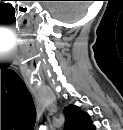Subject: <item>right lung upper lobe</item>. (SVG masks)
<instances>
[{"instance_id": "1", "label": "right lung upper lobe", "mask_w": 123, "mask_h": 130, "mask_svg": "<svg viewBox=\"0 0 123 130\" xmlns=\"http://www.w3.org/2000/svg\"><path fill=\"white\" fill-rule=\"evenodd\" d=\"M66 118L65 130H94L95 127L87 113L70 104L64 108Z\"/></svg>"}]
</instances>
